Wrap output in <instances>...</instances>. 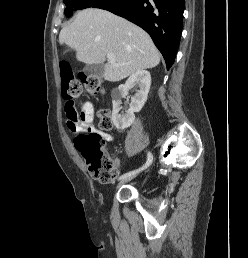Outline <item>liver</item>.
Here are the masks:
<instances>
[{
	"label": "liver",
	"mask_w": 248,
	"mask_h": 258,
	"mask_svg": "<svg viewBox=\"0 0 248 258\" xmlns=\"http://www.w3.org/2000/svg\"><path fill=\"white\" fill-rule=\"evenodd\" d=\"M59 42L74 49L76 59L86 64H102L108 53L113 54L115 62L104 66V78L110 82L156 67L160 62L159 51L143 29L97 8L80 11L60 31Z\"/></svg>",
	"instance_id": "6515ba94"
}]
</instances>
